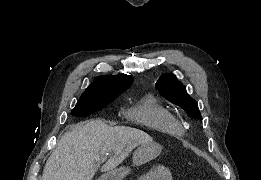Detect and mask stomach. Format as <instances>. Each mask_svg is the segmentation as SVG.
Listing matches in <instances>:
<instances>
[{
  "label": "stomach",
  "mask_w": 261,
  "mask_h": 180,
  "mask_svg": "<svg viewBox=\"0 0 261 180\" xmlns=\"http://www.w3.org/2000/svg\"><path fill=\"white\" fill-rule=\"evenodd\" d=\"M161 150V145L154 141L141 144L133 154V165L140 166L157 158ZM129 173L128 167H120L102 175L97 180H123Z\"/></svg>",
  "instance_id": "1"
}]
</instances>
